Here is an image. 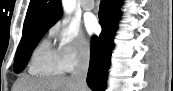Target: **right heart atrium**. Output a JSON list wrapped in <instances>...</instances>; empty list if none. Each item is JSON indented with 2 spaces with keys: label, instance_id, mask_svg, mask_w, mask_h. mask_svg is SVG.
<instances>
[{
  "label": "right heart atrium",
  "instance_id": "1",
  "mask_svg": "<svg viewBox=\"0 0 173 91\" xmlns=\"http://www.w3.org/2000/svg\"><path fill=\"white\" fill-rule=\"evenodd\" d=\"M50 36L56 43L57 55L64 71H73L89 57L90 41L72 22L63 20L55 24Z\"/></svg>",
  "mask_w": 173,
  "mask_h": 91
}]
</instances>
